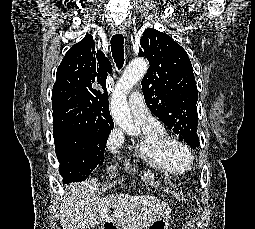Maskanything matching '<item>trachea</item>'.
Instances as JSON below:
<instances>
[{"mask_svg": "<svg viewBox=\"0 0 255 229\" xmlns=\"http://www.w3.org/2000/svg\"><path fill=\"white\" fill-rule=\"evenodd\" d=\"M111 51L118 69L124 64V37L122 34H115L111 38Z\"/></svg>", "mask_w": 255, "mask_h": 229, "instance_id": "trachea-1", "label": "trachea"}]
</instances>
